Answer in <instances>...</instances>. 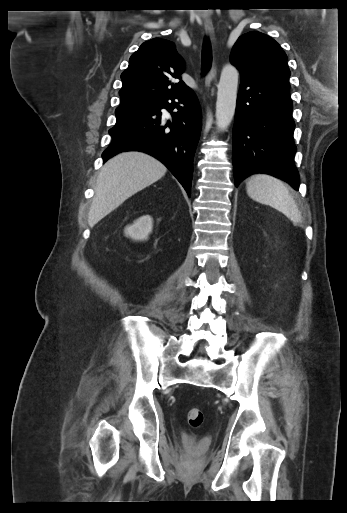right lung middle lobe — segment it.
<instances>
[{"mask_svg": "<svg viewBox=\"0 0 347 513\" xmlns=\"http://www.w3.org/2000/svg\"><path fill=\"white\" fill-rule=\"evenodd\" d=\"M124 111H129L127 108H124V107H118L116 109V113H119V112H124Z\"/></svg>", "mask_w": 347, "mask_h": 513, "instance_id": "dd1d6c3e", "label": "right lung middle lobe"}]
</instances>
